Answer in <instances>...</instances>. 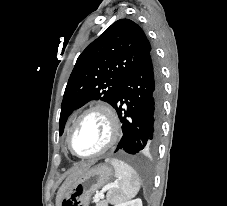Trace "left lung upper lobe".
Returning a JSON list of instances; mask_svg holds the SVG:
<instances>
[{"instance_id": "5c2ea615", "label": "left lung upper lobe", "mask_w": 227, "mask_h": 206, "mask_svg": "<svg viewBox=\"0 0 227 206\" xmlns=\"http://www.w3.org/2000/svg\"><path fill=\"white\" fill-rule=\"evenodd\" d=\"M150 54L143 30L129 19L113 23L78 57L68 80L59 121L62 135L70 114L90 100L114 106L126 77Z\"/></svg>"}]
</instances>
